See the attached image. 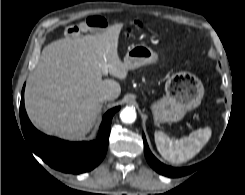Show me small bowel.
<instances>
[{
    "instance_id": "c3829d8e",
    "label": "small bowel",
    "mask_w": 245,
    "mask_h": 195,
    "mask_svg": "<svg viewBox=\"0 0 245 195\" xmlns=\"http://www.w3.org/2000/svg\"><path fill=\"white\" fill-rule=\"evenodd\" d=\"M108 27L107 20L99 15H90L84 21L76 25H70L65 29V34L70 37L85 32H99Z\"/></svg>"
}]
</instances>
